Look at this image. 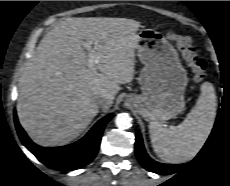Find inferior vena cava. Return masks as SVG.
Masks as SVG:
<instances>
[{"mask_svg":"<svg viewBox=\"0 0 230 186\" xmlns=\"http://www.w3.org/2000/svg\"><path fill=\"white\" fill-rule=\"evenodd\" d=\"M95 102L100 106L103 107L104 105H106L108 103V100L105 96L101 95V96H97L95 99Z\"/></svg>","mask_w":230,"mask_h":186,"instance_id":"inferior-vena-cava-1","label":"inferior vena cava"}]
</instances>
